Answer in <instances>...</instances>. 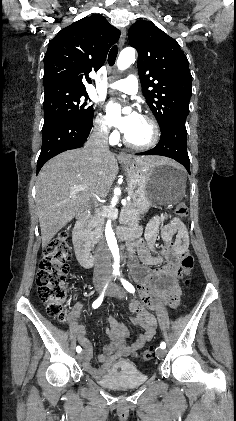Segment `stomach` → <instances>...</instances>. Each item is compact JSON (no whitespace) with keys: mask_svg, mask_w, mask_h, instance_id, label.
Here are the masks:
<instances>
[{"mask_svg":"<svg viewBox=\"0 0 236 421\" xmlns=\"http://www.w3.org/2000/svg\"><path fill=\"white\" fill-rule=\"evenodd\" d=\"M128 176V194L138 213H146L155 204H176L185 194L186 176L173 164L141 166L134 158L120 160Z\"/></svg>","mask_w":236,"mask_h":421,"instance_id":"stomach-1","label":"stomach"}]
</instances>
